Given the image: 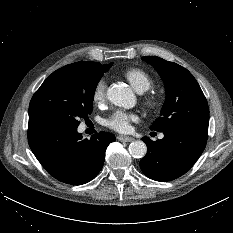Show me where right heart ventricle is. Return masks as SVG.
Here are the masks:
<instances>
[{"instance_id": "right-heart-ventricle-1", "label": "right heart ventricle", "mask_w": 233, "mask_h": 233, "mask_svg": "<svg viewBox=\"0 0 233 233\" xmlns=\"http://www.w3.org/2000/svg\"><path fill=\"white\" fill-rule=\"evenodd\" d=\"M124 76L139 93L149 90L152 86L151 77L141 69H129L124 73Z\"/></svg>"}]
</instances>
